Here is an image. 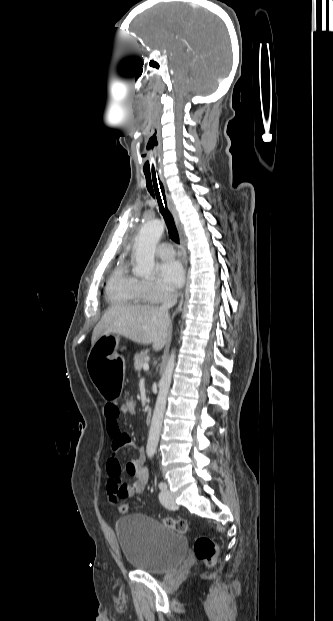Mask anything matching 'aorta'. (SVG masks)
Masks as SVG:
<instances>
[{
	"label": "aorta",
	"mask_w": 333,
	"mask_h": 621,
	"mask_svg": "<svg viewBox=\"0 0 333 621\" xmlns=\"http://www.w3.org/2000/svg\"><path fill=\"white\" fill-rule=\"evenodd\" d=\"M163 232L164 223L158 219L146 222L140 229L134 244L137 262L135 273L137 276L144 277L146 279L152 276L154 269L155 249ZM175 363L176 352L175 350H172L162 378L159 382V392L146 446V453L148 456H153L158 446L163 416L166 409L167 396L172 381Z\"/></svg>",
	"instance_id": "1"
}]
</instances>
